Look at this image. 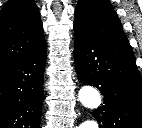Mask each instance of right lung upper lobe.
<instances>
[{"mask_svg":"<svg viewBox=\"0 0 142 128\" xmlns=\"http://www.w3.org/2000/svg\"><path fill=\"white\" fill-rule=\"evenodd\" d=\"M45 43L40 12L33 0H8L0 13V69Z\"/></svg>","mask_w":142,"mask_h":128,"instance_id":"cb5924a9","label":"right lung upper lobe"}]
</instances>
